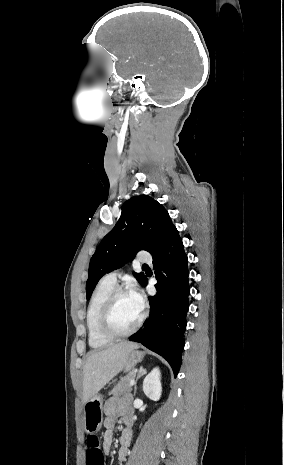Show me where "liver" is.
Returning a JSON list of instances; mask_svg holds the SVG:
<instances>
[{
    "label": "liver",
    "mask_w": 284,
    "mask_h": 465,
    "mask_svg": "<svg viewBox=\"0 0 284 465\" xmlns=\"http://www.w3.org/2000/svg\"><path fill=\"white\" fill-rule=\"evenodd\" d=\"M138 349L136 343H118L104 351H92L83 367L82 403L90 401L113 377L121 373L128 353Z\"/></svg>",
    "instance_id": "obj_1"
}]
</instances>
